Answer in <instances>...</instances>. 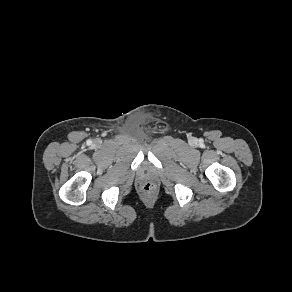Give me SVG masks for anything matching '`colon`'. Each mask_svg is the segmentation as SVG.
<instances>
[{"label": "colon", "mask_w": 292, "mask_h": 292, "mask_svg": "<svg viewBox=\"0 0 292 292\" xmlns=\"http://www.w3.org/2000/svg\"><path fill=\"white\" fill-rule=\"evenodd\" d=\"M155 189V185L151 182V181H147L144 183L143 185V190L146 192V193H151L153 192Z\"/></svg>", "instance_id": "colon-1"}]
</instances>
